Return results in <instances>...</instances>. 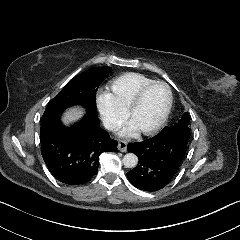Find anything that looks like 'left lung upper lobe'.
I'll return each instance as SVG.
<instances>
[{
    "instance_id": "obj_1",
    "label": "left lung upper lobe",
    "mask_w": 240,
    "mask_h": 240,
    "mask_svg": "<svg viewBox=\"0 0 240 240\" xmlns=\"http://www.w3.org/2000/svg\"><path fill=\"white\" fill-rule=\"evenodd\" d=\"M189 123V113L185 112L177 123H175L173 126L165 127L160 133L175 132L190 137V130L188 127Z\"/></svg>"
}]
</instances>
